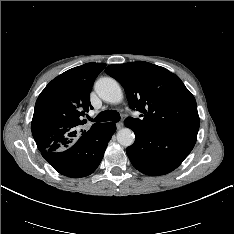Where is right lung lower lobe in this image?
Wrapping results in <instances>:
<instances>
[{
    "instance_id": "right-lung-lower-lobe-1",
    "label": "right lung lower lobe",
    "mask_w": 234,
    "mask_h": 234,
    "mask_svg": "<svg viewBox=\"0 0 234 234\" xmlns=\"http://www.w3.org/2000/svg\"><path fill=\"white\" fill-rule=\"evenodd\" d=\"M115 130L114 123H100L82 135L69 148L41 153L60 174L73 178L85 177L93 173L100 164Z\"/></svg>"
}]
</instances>
